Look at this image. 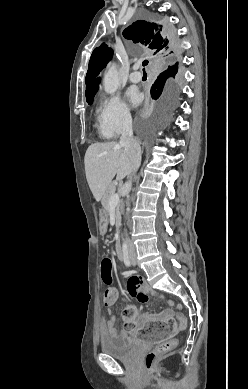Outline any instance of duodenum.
Returning <instances> with one entry per match:
<instances>
[{
  "instance_id": "obj_1",
  "label": "duodenum",
  "mask_w": 248,
  "mask_h": 389,
  "mask_svg": "<svg viewBox=\"0 0 248 389\" xmlns=\"http://www.w3.org/2000/svg\"><path fill=\"white\" fill-rule=\"evenodd\" d=\"M115 251H116V256L118 259L122 260L124 257L123 249L120 243V240H118L115 244Z\"/></svg>"
}]
</instances>
